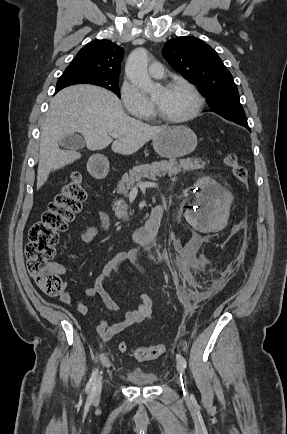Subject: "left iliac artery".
<instances>
[{
  "label": "left iliac artery",
  "instance_id": "left-iliac-artery-1",
  "mask_svg": "<svg viewBox=\"0 0 287 434\" xmlns=\"http://www.w3.org/2000/svg\"><path fill=\"white\" fill-rule=\"evenodd\" d=\"M177 361H178L179 368H182L183 370L187 368V363L183 356L177 355Z\"/></svg>",
  "mask_w": 287,
  "mask_h": 434
}]
</instances>
